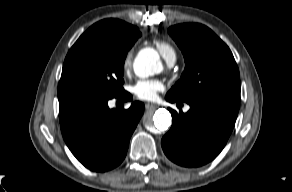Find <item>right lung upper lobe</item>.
<instances>
[{"label": "right lung upper lobe", "instance_id": "obj_1", "mask_svg": "<svg viewBox=\"0 0 292 192\" xmlns=\"http://www.w3.org/2000/svg\"><path fill=\"white\" fill-rule=\"evenodd\" d=\"M100 22L108 24L111 29H113L115 32L122 36H132L139 33L137 27L127 24L126 22L118 19H105Z\"/></svg>", "mask_w": 292, "mask_h": 192}]
</instances>
